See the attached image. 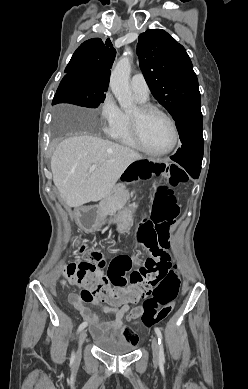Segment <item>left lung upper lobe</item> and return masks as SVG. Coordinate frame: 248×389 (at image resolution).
Listing matches in <instances>:
<instances>
[{"mask_svg":"<svg viewBox=\"0 0 248 389\" xmlns=\"http://www.w3.org/2000/svg\"><path fill=\"white\" fill-rule=\"evenodd\" d=\"M137 54L153 96L174 120L185 108L201 102L191 60L171 35L161 29L147 30L139 36Z\"/></svg>","mask_w":248,"mask_h":389,"instance_id":"left-lung-upper-lobe-1","label":"left lung upper lobe"}]
</instances>
